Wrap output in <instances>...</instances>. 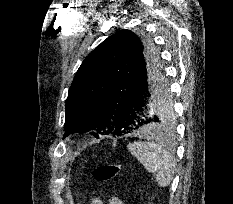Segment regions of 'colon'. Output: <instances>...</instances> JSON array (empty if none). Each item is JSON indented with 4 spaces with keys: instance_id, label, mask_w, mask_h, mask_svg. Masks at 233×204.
I'll list each match as a JSON object with an SVG mask.
<instances>
[{
    "instance_id": "1",
    "label": "colon",
    "mask_w": 233,
    "mask_h": 204,
    "mask_svg": "<svg viewBox=\"0 0 233 204\" xmlns=\"http://www.w3.org/2000/svg\"><path fill=\"white\" fill-rule=\"evenodd\" d=\"M121 171V165L118 163L104 164L94 170V178L98 182H107L116 177Z\"/></svg>"
}]
</instances>
